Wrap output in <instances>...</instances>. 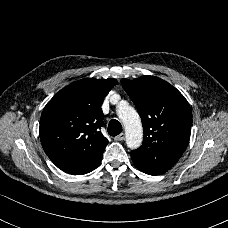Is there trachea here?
Returning a JSON list of instances; mask_svg holds the SVG:
<instances>
[{"instance_id":"trachea-1","label":"trachea","mask_w":228,"mask_h":228,"mask_svg":"<svg viewBox=\"0 0 228 228\" xmlns=\"http://www.w3.org/2000/svg\"><path fill=\"white\" fill-rule=\"evenodd\" d=\"M107 131H108L109 135L117 136L118 134H120L122 132V125L118 120L112 119L108 124Z\"/></svg>"}]
</instances>
